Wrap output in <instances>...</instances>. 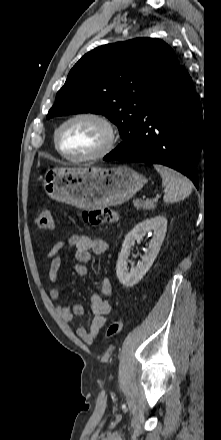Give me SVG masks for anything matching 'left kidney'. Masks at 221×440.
<instances>
[{"label":"left kidney","instance_id":"obj_1","mask_svg":"<svg viewBox=\"0 0 221 440\" xmlns=\"http://www.w3.org/2000/svg\"><path fill=\"white\" fill-rule=\"evenodd\" d=\"M167 231V219L158 215L138 223L125 237L122 249L118 256L116 274L120 283L125 287H132L137 284L152 266ZM149 233L152 238L148 243L145 255L137 266H132L130 272L127 269L128 257L135 241H140L143 236Z\"/></svg>","mask_w":221,"mask_h":440}]
</instances>
